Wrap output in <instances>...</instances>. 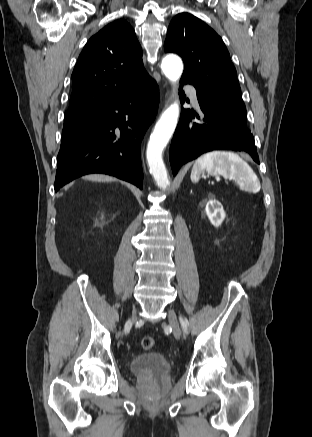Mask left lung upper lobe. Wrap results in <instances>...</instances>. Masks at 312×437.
Masks as SVG:
<instances>
[{"label":"left lung upper lobe","instance_id":"1","mask_svg":"<svg viewBox=\"0 0 312 437\" xmlns=\"http://www.w3.org/2000/svg\"><path fill=\"white\" fill-rule=\"evenodd\" d=\"M164 50L182 57L181 80L192 84L198 96L221 103L247 126L236 69L214 30L195 16L180 13L169 25Z\"/></svg>","mask_w":312,"mask_h":437}]
</instances>
